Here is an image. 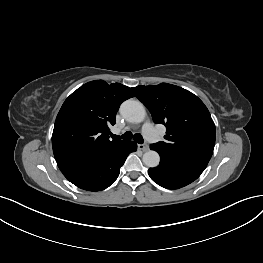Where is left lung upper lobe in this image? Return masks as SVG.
Listing matches in <instances>:
<instances>
[{"instance_id":"5c2ea615","label":"left lung upper lobe","mask_w":263,"mask_h":263,"mask_svg":"<svg viewBox=\"0 0 263 263\" xmlns=\"http://www.w3.org/2000/svg\"><path fill=\"white\" fill-rule=\"evenodd\" d=\"M152 114L153 121L167 127L165 141L150 149L172 161L205 169L215 145V125L204 103L181 87L159 85L132 88Z\"/></svg>"}]
</instances>
